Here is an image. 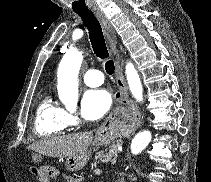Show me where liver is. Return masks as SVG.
Wrapping results in <instances>:
<instances>
[{
    "instance_id": "6515ba94",
    "label": "liver",
    "mask_w": 211,
    "mask_h": 182,
    "mask_svg": "<svg viewBox=\"0 0 211 182\" xmlns=\"http://www.w3.org/2000/svg\"><path fill=\"white\" fill-rule=\"evenodd\" d=\"M93 141L91 132L47 138L29 145L28 149L49 157H73L84 153Z\"/></svg>"
}]
</instances>
